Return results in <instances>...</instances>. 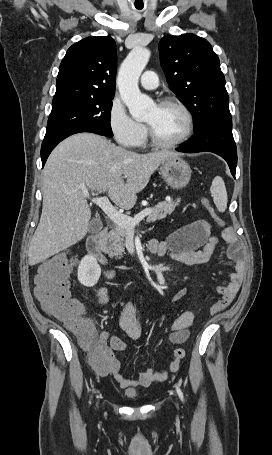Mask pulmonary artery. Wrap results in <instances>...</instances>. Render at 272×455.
Listing matches in <instances>:
<instances>
[{"instance_id": "e3ab8cb5", "label": "pulmonary artery", "mask_w": 272, "mask_h": 455, "mask_svg": "<svg viewBox=\"0 0 272 455\" xmlns=\"http://www.w3.org/2000/svg\"><path fill=\"white\" fill-rule=\"evenodd\" d=\"M140 84L144 89L153 90L158 86V77L154 71H145L140 79Z\"/></svg>"}]
</instances>
